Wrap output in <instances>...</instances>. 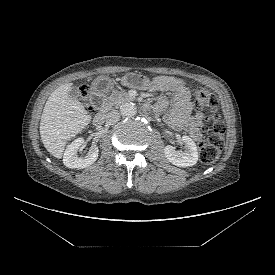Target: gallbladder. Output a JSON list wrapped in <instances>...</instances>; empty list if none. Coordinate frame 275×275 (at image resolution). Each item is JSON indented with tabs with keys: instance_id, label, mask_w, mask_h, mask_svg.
Listing matches in <instances>:
<instances>
[{
	"instance_id": "gallbladder-1",
	"label": "gallbladder",
	"mask_w": 275,
	"mask_h": 275,
	"mask_svg": "<svg viewBox=\"0 0 275 275\" xmlns=\"http://www.w3.org/2000/svg\"><path fill=\"white\" fill-rule=\"evenodd\" d=\"M80 95L79 88L76 86H72L70 91H69V96L71 98H77Z\"/></svg>"
}]
</instances>
